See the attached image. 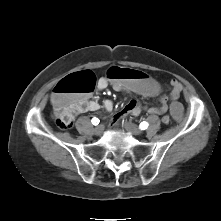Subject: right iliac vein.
I'll return each mask as SVG.
<instances>
[{"label":"right iliac vein","instance_id":"right-iliac-vein-1","mask_svg":"<svg viewBox=\"0 0 221 221\" xmlns=\"http://www.w3.org/2000/svg\"><path fill=\"white\" fill-rule=\"evenodd\" d=\"M103 130H104L103 125H98V126H96V127L94 128V133H95L96 135H101L102 132H103Z\"/></svg>","mask_w":221,"mask_h":221}]
</instances>
